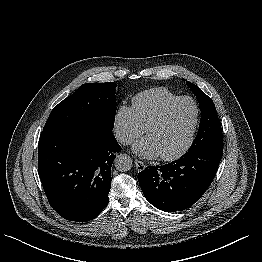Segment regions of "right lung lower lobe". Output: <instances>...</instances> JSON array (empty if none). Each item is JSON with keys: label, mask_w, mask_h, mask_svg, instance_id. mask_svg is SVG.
<instances>
[{"label": "right lung lower lobe", "mask_w": 262, "mask_h": 262, "mask_svg": "<svg viewBox=\"0 0 262 262\" xmlns=\"http://www.w3.org/2000/svg\"><path fill=\"white\" fill-rule=\"evenodd\" d=\"M120 151L112 132L42 133L38 172L51 207L71 221L85 222L98 216L107 205L111 166Z\"/></svg>", "instance_id": "98d812e1"}]
</instances>
